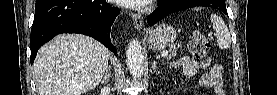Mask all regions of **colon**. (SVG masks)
I'll list each match as a JSON object with an SVG mask.
<instances>
[{"instance_id": "obj_1", "label": "colon", "mask_w": 277, "mask_h": 95, "mask_svg": "<svg viewBox=\"0 0 277 95\" xmlns=\"http://www.w3.org/2000/svg\"><path fill=\"white\" fill-rule=\"evenodd\" d=\"M188 50L196 59H202L210 50V41L202 32H195L189 42Z\"/></svg>"}]
</instances>
